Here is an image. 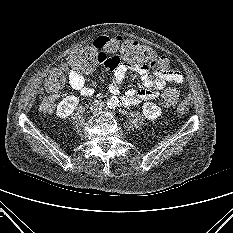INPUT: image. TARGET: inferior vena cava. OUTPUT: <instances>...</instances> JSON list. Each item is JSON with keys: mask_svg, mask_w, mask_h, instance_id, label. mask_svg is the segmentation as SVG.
Wrapping results in <instances>:
<instances>
[{"mask_svg": "<svg viewBox=\"0 0 233 233\" xmlns=\"http://www.w3.org/2000/svg\"><path fill=\"white\" fill-rule=\"evenodd\" d=\"M103 107H104V102L95 100L94 102H92V105L90 108L93 113H98L102 110Z\"/></svg>", "mask_w": 233, "mask_h": 233, "instance_id": "inferior-vena-cava-1", "label": "inferior vena cava"}]
</instances>
